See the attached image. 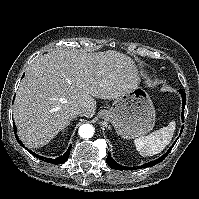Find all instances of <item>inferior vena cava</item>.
I'll return each mask as SVG.
<instances>
[{"mask_svg":"<svg viewBox=\"0 0 199 199\" xmlns=\"http://www.w3.org/2000/svg\"><path fill=\"white\" fill-rule=\"evenodd\" d=\"M75 114L78 116H84L85 115V108L83 107H77L75 110Z\"/></svg>","mask_w":199,"mask_h":199,"instance_id":"obj_1","label":"inferior vena cava"}]
</instances>
